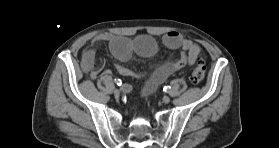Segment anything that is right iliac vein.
Returning a JSON list of instances; mask_svg holds the SVG:
<instances>
[{
  "label": "right iliac vein",
  "instance_id": "63e3f726",
  "mask_svg": "<svg viewBox=\"0 0 279 148\" xmlns=\"http://www.w3.org/2000/svg\"><path fill=\"white\" fill-rule=\"evenodd\" d=\"M113 93H114L115 97H119L120 96V90H118V89H115Z\"/></svg>",
  "mask_w": 279,
  "mask_h": 148
}]
</instances>
